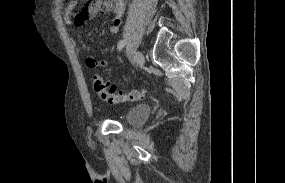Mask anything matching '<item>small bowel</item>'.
<instances>
[{"label":"small bowel","mask_w":285,"mask_h":183,"mask_svg":"<svg viewBox=\"0 0 285 183\" xmlns=\"http://www.w3.org/2000/svg\"><path fill=\"white\" fill-rule=\"evenodd\" d=\"M75 6L76 2H70L64 9V19L68 25L76 29H80L85 20L93 18L99 14L112 13L113 18L111 25L109 26V33L112 35L118 33L125 9V0H96L89 4L81 14L73 17ZM109 49V47H106L103 50V53H107ZM107 64V61L98 60L92 56H88L86 58V65L89 68L105 67Z\"/></svg>","instance_id":"small-bowel-1"}]
</instances>
